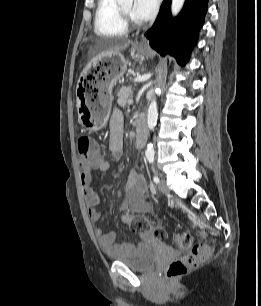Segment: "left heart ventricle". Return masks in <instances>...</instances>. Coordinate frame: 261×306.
<instances>
[{
    "mask_svg": "<svg viewBox=\"0 0 261 306\" xmlns=\"http://www.w3.org/2000/svg\"><path fill=\"white\" fill-rule=\"evenodd\" d=\"M133 4H134L133 1L130 0L129 2L124 3L121 7L124 9L126 13H128L131 17L137 20L133 15Z\"/></svg>",
    "mask_w": 261,
    "mask_h": 306,
    "instance_id": "left-heart-ventricle-1",
    "label": "left heart ventricle"
}]
</instances>
